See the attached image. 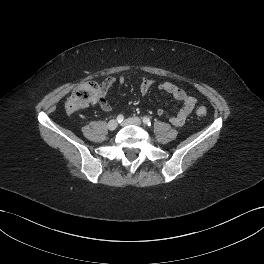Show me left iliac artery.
I'll return each instance as SVG.
<instances>
[{
	"label": "left iliac artery",
	"mask_w": 264,
	"mask_h": 264,
	"mask_svg": "<svg viewBox=\"0 0 264 264\" xmlns=\"http://www.w3.org/2000/svg\"><path fill=\"white\" fill-rule=\"evenodd\" d=\"M143 123L147 126H151V121L149 118L147 117H143Z\"/></svg>",
	"instance_id": "obj_1"
}]
</instances>
